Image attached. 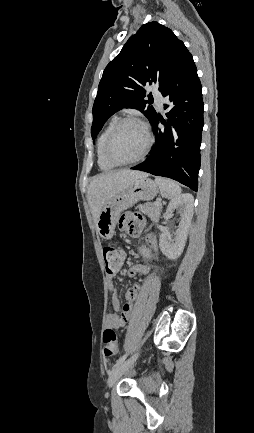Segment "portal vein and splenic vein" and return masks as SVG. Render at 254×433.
<instances>
[{
	"mask_svg": "<svg viewBox=\"0 0 254 433\" xmlns=\"http://www.w3.org/2000/svg\"><path fill=\"white\" fill-rule=\"evenodd\" d=\"M159 204H160V202H159V201H156V202H155V205H156V206H158Z\"/></svg>",
	"mask_w": 254,
	"mask_h": 433,
	"instance_id": "18ae733b",
	"label": "portal vein and splenic vein"
}]
</instances>
